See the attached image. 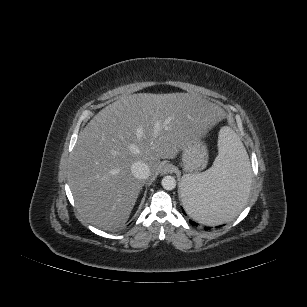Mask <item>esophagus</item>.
<instances>
[{"label": "esophagus", "instance_id": "34e87169", "mask_svg": "<svg viewBox=\"0 0 307 307\" xmlns=\"http://www.w3.org/2000/svg\"><path fill=\"white\" fill-rule=\"evenodd\" d=\"M173 171V167L171 164L167 163V164H164L160 170V173L161 175H165V174H169V173H172Z\"/></svg>", "mask_w": 307, "mask_h": 307}]
</instances>
